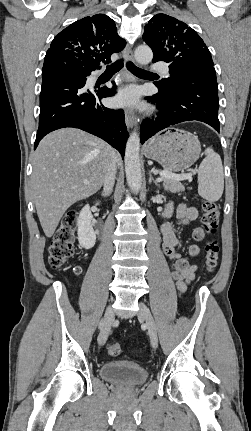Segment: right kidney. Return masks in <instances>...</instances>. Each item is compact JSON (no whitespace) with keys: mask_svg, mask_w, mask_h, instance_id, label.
Listing matches in <instances>:
<instances>
[{"mask_svg":"<svg viewBox=\"0 0 251 431\" xmlns=\"http://www.w3.org/2000/svg\"><path fill=\"white\" fill-rule=\"evenodd\" d=\"M92 218L90 206L87 204L82 208L77 219L78 241L80 246L86 250L91 249L96 242V234L91 224Z\"/></svg>","mask_w":251,"mask_h":431,"instance_id":"obj_1","label":"right kidney"}]
</instances>
